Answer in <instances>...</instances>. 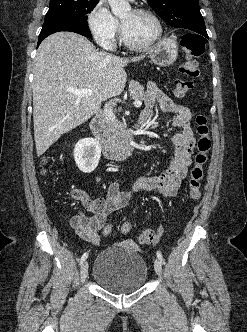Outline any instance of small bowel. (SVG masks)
I'll return each instance as SVG.
<instances>
[{"instance_id":"obj_1","label":"small bowel","mask_w":247,"mask_h":332,"mask_svg":"<svg viewBox=\"0 0 247 332\" xmlns=\"http://www.w3.org/2000/svg\"><path fill=\"white\" fill-rule=\"evenodd\" d=\"M145 104L146 107L141 113V117L145 120L153 115L157 104L163 112L175 115L173 125L180 130L172 135L176 145L174 157L169 167L160 175L139 178L132 191H120L116 182L109 184L107 198H91L80 189L72 191L73 197L79 200L92 215L74 216L71 219V226L83 240L91 244L100 243L99 231L105 227L108 216L126 207L134 194L147 191L174 197L187 176L191 153L196 143L191 111L186 106L174 102L155 84H150L145 94Z\"/></svg>"}]
</instances>
